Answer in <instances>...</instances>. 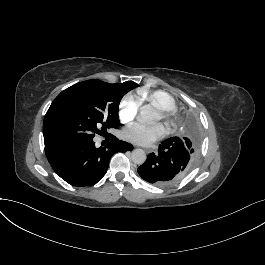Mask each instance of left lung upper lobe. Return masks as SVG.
Here are the masks:
<instances>
[{
  "label": "left lung upper lobe",
  "instance_id": "5c2ea615",
  "mask_svg": "<svg viewBox=\"0 0 265 265\" xmlns=\"http://www.w3.org/2000/svg\"><path fill=\"white\" fill-rule=\"evenodd\" d=\"M187 132L177 137L182 140L189 154L188 168H192L198 156L201 145V133L198 124L191 118L186 125Z\"/></svg>",
  "mask_w": 265,
  "mask_h": 265
}]
</instances>
